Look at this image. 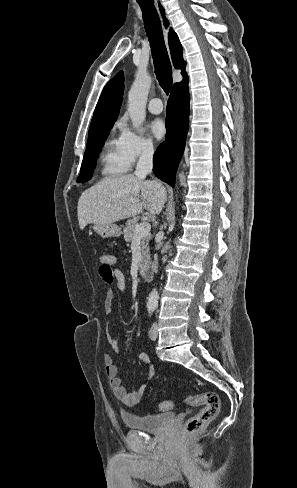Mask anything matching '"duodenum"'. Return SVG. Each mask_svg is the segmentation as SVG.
Returning <instances> with one entry per match:
<instances>
[{"label": "duodenum", "mask_w": 297, "mask_h": 488, "mask_svg": "<svg viewBox=\"0 0 297 488\" xmlns=\"http://www.w3.org/2000/svg\"><path fill=\"white\" fill-rule=\"evenodd\" d=\"M139 273L145 280H151L153 277L152 264L149 262L143 263L139 268Z\"/></svg>", "instance_id": "duodenum-1"}]
</instances>
